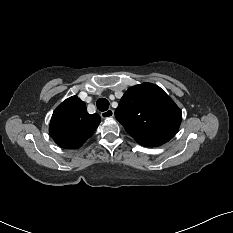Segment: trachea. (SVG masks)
<instances>
[{
	"mask_svg": "<svg viewBox=\"0 0 233 233\" xmlns=\"http://www.w3.org/2000/svg\"><path fill=\"white\" fill-rule=\"evenodd\" d=\"M96 105H97V108L99 111L104 112V111L108 110V108H109V101L105 98H100V99H98Z\"/></svg>",
	"mask_w": 233,
	"mask_h": 233,
	"instance_id": "obj_1",
	"label": "trachea"
}]
</instances>
